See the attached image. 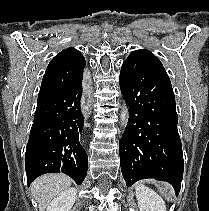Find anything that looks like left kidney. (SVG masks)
I'll list each match as a JSON object with an SVG mask.
<instances>
[{"instance_id":"obj_1","label":"left kidney","mask_w":209,"mask_h":211,"mask_svg":"<svg viewBox=\"0 0 209 211\" xmlns=\"http://www.w3.org/2000/svg\"><path fill=\"white\" fill-rule=\"evenodd\" d=\"M140 211H166L163 199L150 188L144 187L136 192Z\"/></svg>"}]
</instances>
